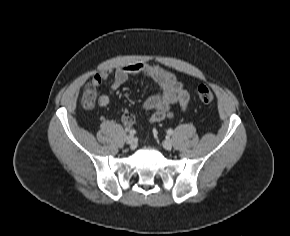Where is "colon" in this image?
Listing matches in <instances>:
<instances>
[{
  "instance_id": "5ec220e1",
  "label": "colon",
  "mask_w": 290,
  "mask_h": 236,
  "mask_svg": "<svg viewBox=\"0 0 290 236\" xmlns=\"http://www.w3.org/2000/svg\"><path fill=\"white\" fill-rule=\"evenodd\" d=\"M198 100L203 104H209L214 100L212 90L206 85L197 88ZM98 101L97 89L92 83H88L82 92V102L87 108H94Z\"/></svg>"
}]
</instances>
